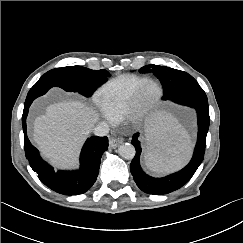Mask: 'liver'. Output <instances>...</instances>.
Segmentation results:
<instances>
[{
    "label": "liver",
    "mask_w": 243,
    "mask_h": 243,
    "mask_svg": "<svg viewBox=\"0 0 243 243\" xmlns=\"http://www.w3.org/2000/svg\"><path fill=\"white\" fill-rule=\"evenodd\" d=\"M98 118L93 107L79 100L50 104L34 121L33 140L53 165L77 167L81 146Z\"/></svg>",
    "instance_id": "1"
}]
</instances>
